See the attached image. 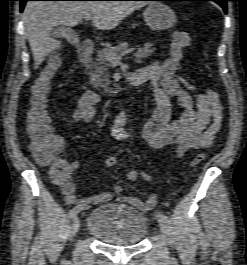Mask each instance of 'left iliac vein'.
I'll return each instance as SVG.
<instances>
[{"instance_id": "1", "label": "left iliac vein", "mask_w": 247, "mask_h": 265, "mask_svg": "<svg viewBox=\"0 0 247 265\" xmlns=\"http://www.w3.org/2000/svg\"><path fill=\"white\" fill-rule=\"evenodd\" d=\"M158 223H159V227H160V230L163 232V233H166L167 231V224H166V221L159 218L158 219Z\"/></svg>"}]
</instances>
